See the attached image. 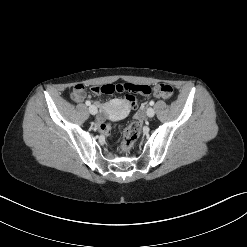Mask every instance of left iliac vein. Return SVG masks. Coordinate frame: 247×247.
Segmentation results:
<instances>
[{
	"label": "left iliac vein",
	"mask_w": 247,
	"mask_h": 247,
	"mask_svg": "<svg viewBox=\"0 0 247 247\" xmlns=\"http://www.w3.org/2000/svg\"><path fill=\"white\" fill-rule=\"evenodd\" d=\"M146 114H147L148 117H153L154 114H155V111H154V109L152 107H149L147 109V111H146Z\"/></svg>",
	"instance_id": "obj_1"
}]
</instances>
